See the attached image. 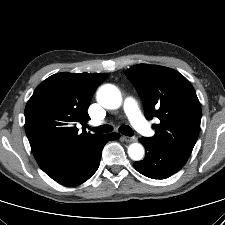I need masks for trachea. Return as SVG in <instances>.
I'll list each match as a JSON object with an SVG mask.
<instances>
[{
  "mask_svg": "<svg viewBox=\"0 0 225 225\" xmlns=\"http://www.w3.org/2000/svg\"><path fill=\"white\" fill-rule=\"evenodd\" d=\"M91 131H94L96 133H108L112 131V126L110 125H102L99 127H88ZM119 132L126 136H132L133 131L128 125H122L119 127Z\"/></svg>",
  "mask_w": 225,
  "mask_h": 225,
  "instance_id": "3493384b",
  "label": "trachea"
}]
</instances>
